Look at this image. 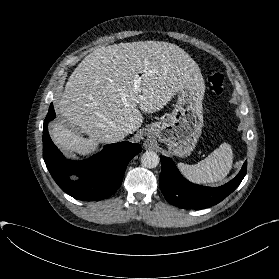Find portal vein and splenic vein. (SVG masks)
<instances>
[{
  "mask_svg": "<svg viewBox=\"0 0 279 279\" xmlns=\"http://www.w3.org/2000/svg\"><path fill=\"white\" fill-rule=\"evenodd\" d=\"M146 74L147 73L145 72L142 76L136 75V77L134 79V89H135V91H139L142 78L146 77Z\"/></svg>",
  "mask_w": 279,
  "mask_h": 279,
  "instance_id": "18ae733b",
  "label": "portal vein and splenic vein"
}]
</instances>
